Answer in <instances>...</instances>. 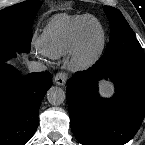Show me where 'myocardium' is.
<instances>
[{
    "label": "myocardium",
    "mask_w": 145,
    "mask_h": 145,
    "mask_svg": "<svg viewBox=\"0 0 145 145\" xmlns=\"http://www.w3.org/2000/svg\"><path fill=\"white\" fill-rule=\"evenodd\" d=\"M97 28V38L94 41L88 39V27L80 33V38L71 52L69 67L75 71L90 68L100 58L105 45L106 34L102 25L98 22L94 24Z\"/></svg>",
    "instance_id": "obj_1"
}]
</instances>
